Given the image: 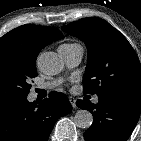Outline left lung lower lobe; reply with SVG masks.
Masks as SVG:
<instances>
[{
	"label": "left lung lower lobe",
	"instance_id": "left-lung-lower-lobe-1",
	"mask_svg": "<svg viewBox=\"0 0 141 141\" xmlns=\"http://www.w3.org/2000/svg\"><path fill=\"white\" fill-rule=\"evenodd\" d=\"M96 105L83 100L76 102L81 109L93 114V124L85 131L86 141H126L139 119L141 97L98 95Z\"/></svg>",
	"mask_w": 141,
	"mask_h": 141
}]
</instances>
